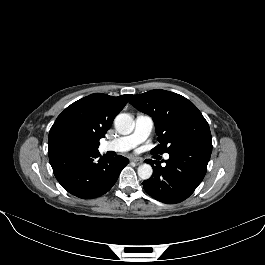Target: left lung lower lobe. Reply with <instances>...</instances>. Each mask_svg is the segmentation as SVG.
Masks as SVG:
<instances>
[{
    "instance_id": "obj_1",
    "label": "left lung lower lobe",
    "mask_w": 265,
    "mask_h": 265,
    "mask_svg": "<svg viewBox=\"0 0 265 265\" xmlns=\"http://www.w3.org/2000/svg\"><path fill=\"white\" fill-rule=\"evenodd\" d=\"M211 152L212 140L201 139L169 152L165 167L159 161H146L153 175L143 182L145 191L163 203L182 202L203 180Z\"/></svg>"
}]
</instances>
